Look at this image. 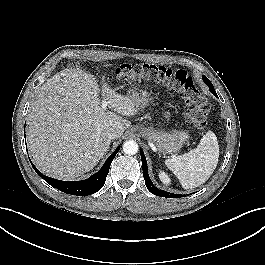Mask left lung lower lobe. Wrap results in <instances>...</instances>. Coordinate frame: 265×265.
I'll return each instance as SVG.
<instances>
[{
    "instance_id": "obj_1",
    "label": "left lung lower lobe",
    "mask_w": 265,
    "mask_h": 265,
    "mask_svg": "<svg viewBox=\"0 0 265 265\" xmlns=\"http://www.w3.org/2000/svg\"><path fill=\"white\" fill-rule=\"evenodd\" d=\"M203 80L208 85L211 93L214 94L216 97H218L216 92H215V90H214V87H213L212 83L209 81V79L206 76L203 75ZM140 152H141V160H142L143 177L145 179V184H146L147 189L151 193H153V194H155L157 196H161V197L176 198V197L181 196L179 194H173V193H169V192L160 190V189H158L157 187H155L153 185V183H152V181H151V179H150V177L148 175L147 162H146V158H145L144 152L142 150H140Z\"/></svg>"
}]
</instances>
